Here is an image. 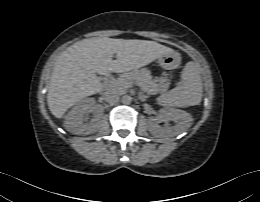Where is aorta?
Wrapping results in <instances>:
<instances>
[{
  "instance_id": "aorta-1",
  "label": "aorta",
  "mask_w": 260,
  "mask_h": 202,
  "mask_svg": "<svg viewBox=\"0 0 260 202\" xmlns=\"http://www.w3.org/2000/svg\"><path fill=\"white\" fill-rule=\"evenodd\" d=\"M121 102L125 105H129L131 102H132V98L130 95H124L122 98H121Z\"/></svg>"
}]
</instances>
